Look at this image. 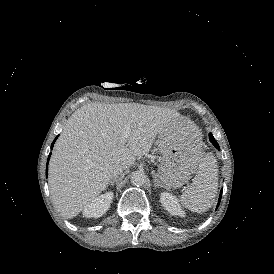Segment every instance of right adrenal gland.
<instances>
[{"mask_svg": "<svg viewBox=\"0 0 274 274\" xmlns=\"http://www.w3.org/2000/svg\"><path fill=\"white\" fill-rule=\"evenodd\" d=\"M116 179H114L111 183H110V187L113 188L114 184H115Z\"/></svg>", "mask_w": 274, "mask_h": 274, "instance_id": "obj_1", "label": "right adrenal gland"}]
</instances>
